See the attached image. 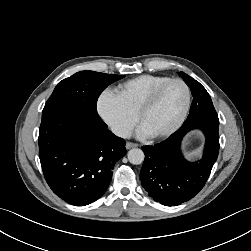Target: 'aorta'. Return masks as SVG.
<instances>
[{
    "label": "aorta",
    "mask_w": 251,
    "mask_h": 251,
    "mask_svg": "<svg viewBox=\"0 0 251 251\" xmlns=\"http://www.w3.org/2000/svg\"><path fill=\"white\" fill-rule=\"evenodd\" d=\"M128 160L134 165L141 164L144 161V152L141 149L133 148L127 154Z\"/></svg>",
    "instance_id": "obj_1"
}]
</instances>
